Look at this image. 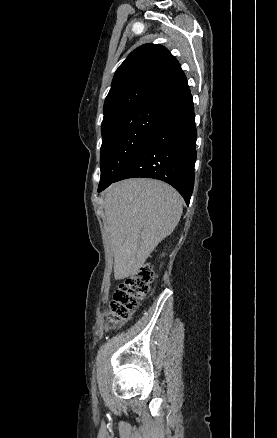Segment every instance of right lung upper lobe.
Segmentation results:
<instances>
[{
	"label": "right lung upper lobe",
	"mask_w": 277,
	"mask_h": 438,
	"mask_svg": "<svg viewBox=\"0 0 277 438\" xmlns=\"http://www.w3.org/2000/svg\"><path fill=\"white\" fill-rule=\"evenodd\" d=\"M190 93L177 60L159 44L135 49L115 72L104 103V119L163 110Z\"/></svg>",
	"instance_id": "cb5924a9"
}]
</instances>
